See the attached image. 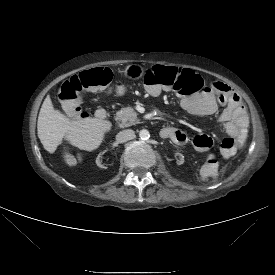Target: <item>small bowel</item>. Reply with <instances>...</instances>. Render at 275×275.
Returning a JSON list of instances; mask_svg holds the SVG:
<instances>
[{
    "instance_id": "1",
    "label": "small bowel",
    "mask_w": 275,
    "mask_h": 275,
    "mask_svg": "<svg viewBox=\"0 0 275 275\" xmlns=\"http://www.w3.org/2000/svg\"><path fill=\"white\" fill-rule=\"evenodd\" d=\"M182 107L196 116H208L222 110L216 117V125L229 137L236 140L238 148L247 140L249 119L239 95L227 84L214 82L204 92L190 95L181 100ZM161 136L178 144H185L188 136L182 130L166 127ZM191 144L196 150L204 153L200 163L199 180L202 185L211 187L216 184L222 168L218 163L217 152L212 150L213 141L210 136L199 132L193 133Z\"/></svg>"
}]
</instances>
